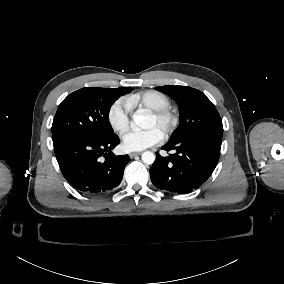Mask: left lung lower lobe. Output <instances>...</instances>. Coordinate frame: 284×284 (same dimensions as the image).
<instances>
[{
	"mask_svg": "<svg viewBox=\"0 0 284 284\" xmlns=\"http://www.w3.org/2000/svg\"><path fill=\"white\" fill-rule=\"evenodd\" d=\"M222 138L199 134L171 140L162 149L174 150L169 157L157 155L150 169L158 189L187 194L202 185L213 173L220 156Z\"/></svg>",
	"mask_w": 284,
	"mask_h": 284,
	"instance_id": "left-lung-lower-lobe-1",
	"label": "left lung lower lobe"
}]
</instances>
